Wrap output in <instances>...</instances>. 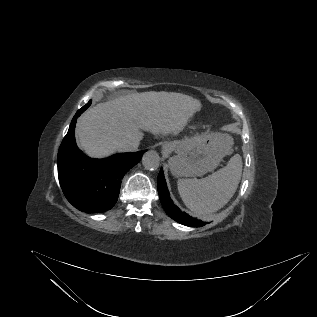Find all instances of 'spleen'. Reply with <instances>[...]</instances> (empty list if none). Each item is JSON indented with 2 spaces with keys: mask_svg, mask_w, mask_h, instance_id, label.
<instances>
[{
  "mask_svg": "<svg viewBox=\"0 0 317 317\" xmlns=\"http://www.w3.org/2000/svg\"><path fill=\"white\" fill-rule=\"evenodd\" d=\"M242 175V158L235 154L227 165L203 179H179L178 191L184 204L197 214H211L233 197Z\"/></svg>",
  "mask_w": 317,
  "mask_h": 317,
  "instance_id": "1",
  "label": "spleen"
}]
</instances>
